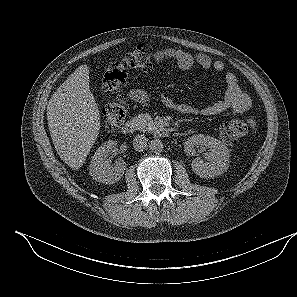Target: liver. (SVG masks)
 <instances>
[{"instance_id": "1", "label": "liver", "mask_w": 297, "mask_h": 297, "mask_svg": "<svg viewBox=\"0 0 297 297\" xmlns=\"http://www.w3.org/2000/svg\"><path fill=\"white\" fill-rule=\"evenodd\" d=\"M47 120L58 155L78 170L100 130V113L90 91L86 64L79 66L54 92L47 105Z\"/></svg>"}]
</instances>
